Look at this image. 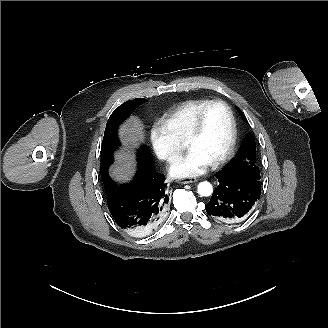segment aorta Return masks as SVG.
<instances>
[{
	"label": "aorta",
	"mask_w": 328,
	"mask_h": 328,
	"mask_svg": "<svg viewBox=\"0 0 328 328\" xmlns=\"http://www.w3.org/2000/svg\"><path fill=\"white\" fill-rule=\"evenodd\" d=\"M198 193L201 196H205V197L210 196L213 193V187H212L211 183H209L207 181L199 183Z\"/></svg>",
	"instance_id": "1"
}]
</instances>
